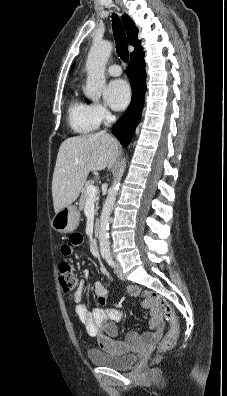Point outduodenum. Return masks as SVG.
I'll use <instances>...</instances> for the list:
<instances>
[{"label": "duodenum", "instance_id": "obj_1", "mask_svg": "<svg viewBox=\"0 0 227 396\" xmlns=\"http://www.w3.org/2000/svg\"><path fill=\"white\" fill-rule=\"evenodd\" d=\"M101 233V226L100 223L97 221L93 226V234L95 237H99Z\"/></svg>", "mask_w": 227, "mask_h": 396}]
</instances>
